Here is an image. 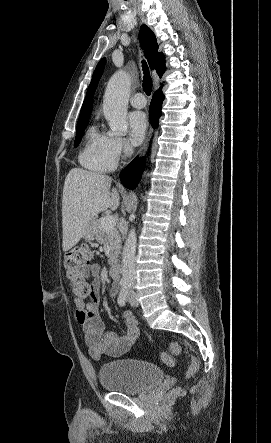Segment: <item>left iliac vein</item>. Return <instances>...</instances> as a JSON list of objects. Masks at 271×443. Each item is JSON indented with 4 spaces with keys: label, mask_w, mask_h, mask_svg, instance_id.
Listing matches in <instances>:
<instances>
[{
    "label": "left iliac vein",
    "mask_w": 271,
    "mask_h": 443,
    "mask_svg": "<svg viewBox=\"0 0 271 443\" xmlns=\"http://www.w3.org/2000/svg\"><path fill=\"white\" fill-rule=\"evenodd\" d=\"M128 301H129L130 305L133 307H137L139 305V302H138V299H137V296L135 293H131L129 295Z\"/></svg>",
    "instance_id": "left-iliac-vein-1"
}]
</instances>
